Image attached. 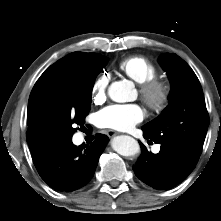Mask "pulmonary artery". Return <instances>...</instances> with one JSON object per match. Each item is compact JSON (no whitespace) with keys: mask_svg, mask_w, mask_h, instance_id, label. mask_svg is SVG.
Returning a JSON list of instances; mask_svg holds the SVG:
<instances>
[{"mask_svg":"<svg viewBox=\"0 0 221 221\" xmlns=\"http://www.w3.org/2000/svg\"><path fill=\"white\" fill-rule=\"evenodd\" d=\"M154 151H155V152H158V151H159V147L156 146L155 149H154Z\"/></svg>","mask_w":221,"mask_h":221,"instance_id":"1","label":"pulmonary artery"}]
</instances>
